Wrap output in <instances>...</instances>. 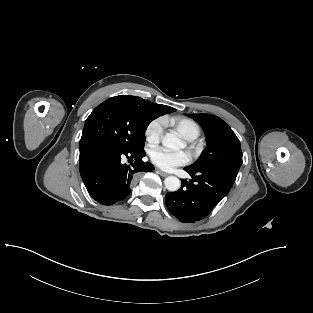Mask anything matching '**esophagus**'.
I'll use <instances>...</instances> for the list:
<instances>
[{"instance_id":"1","label":"esophagus","mask_w":313,"mask_h":313,"mask_svg":"<svg viewBox=\"0 0 313 313\" xmlns=\"http://www.w3.org/2000/svg\"><path fill=\"white\" fill-rule=\"evenodd\" d=\"M157 173L160 174L162 177H167L169 174L166 172H163L161 170H157Z\"/></svg>"}]
</instances>
